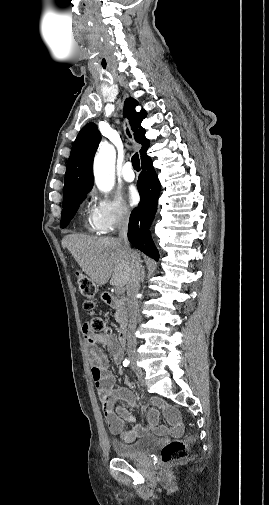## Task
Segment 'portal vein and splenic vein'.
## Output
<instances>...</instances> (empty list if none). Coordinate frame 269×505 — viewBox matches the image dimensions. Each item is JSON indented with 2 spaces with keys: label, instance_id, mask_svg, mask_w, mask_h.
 <instances>
[{
  "label": "portal vein and splenic vein",
  "instance_id": "obj_1",
  "mask_svg": "<svg viewBox=\"0 0 269 505\" xmlns=\"http://www.w3.org/2000/svg\"><path fill=\"white\" fill-rule=\"evenodd\" d=\"M116 292L121 294L123 292V287L122 286H117L116 287Z\"/></svg>",
  "mask_w": 269,
  "mask_h": 505
}]
</instances>
